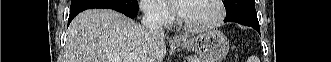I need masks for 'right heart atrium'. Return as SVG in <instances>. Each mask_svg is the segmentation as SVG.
<instances>
[{
    "mask_svg": "<svg viewBox=\"0 0 331 62\" xmlns=\"http://www.w3.org/2000/svg\"><path fill=\"white\" fill-rule=\"evenodd\" d=\"M140 6L146 17L151 20L166 24L172 19L170 10L161 1L142 0Z\"/></svg>",
    "mask_w": 331,
    "mask_h": 62,
    "instance_id": "obj_1",
    "label": "right heart atrium"
}]
</instances>
